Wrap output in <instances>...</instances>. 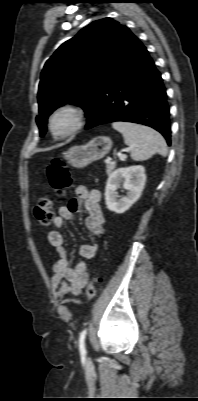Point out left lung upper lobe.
I'll list each match as a JSON object with an SVG mask.
<instances>
[{"label":"left lung upper lobe","instance_id":"1","mask_svg":"<svg viewBox=\"0 0 198 401\" xmlns=\"http://www.w3.org/2000/svg\"><path fill=\"white\" fill-rule=\"evenodd\" d=\"M137 38L112 18L94 21L63 43L47 60L38 91L40 136L48 116L66 103L78 105L86 115L101 88Z\"/></svg>","mask_w":198,"mask_h":401}]
</instances>
